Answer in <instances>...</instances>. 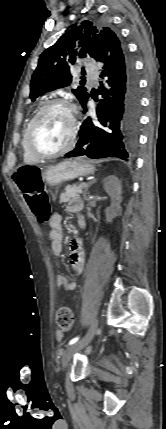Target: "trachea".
I'll return each instance as SVG.
<instances>
[{
	"instance_id": "3493384b",
	"label": "trachea",
	"mask_w": 166,
	"mask_h": 429,
	"mask_svg": "<svg viewBox=\"0 0 166 429\" xmlns=\"http://www.w3.org/2000/svg\"><path fill=\"white\" fill-rule=\"evenodd\" d=\"M82 82H85V78L82 79Z\"/></svg>"
}]
</instances>
